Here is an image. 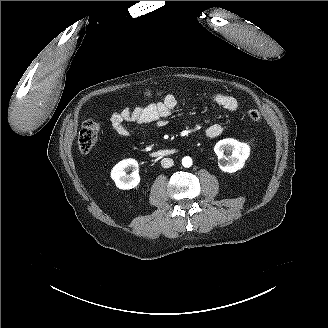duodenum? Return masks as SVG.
Returning <instances> with one entry per match:
<instances>
[{"mask_svg": "<svg viewBox=\"0 0 328 328\" xmlns=\"http://www.w3.org/2000/svg\"><path fill=\"white\" fill-rule=\"evenodd\" d=\"M172 152L173 151H170V150H162V151H158V152L154 153V155H156V156H164V155H169Z\"/></svg>", "mask_w": 328, "mask_h": 328, "instance_id": "1", "label": "duodenum"}]
</instances>
